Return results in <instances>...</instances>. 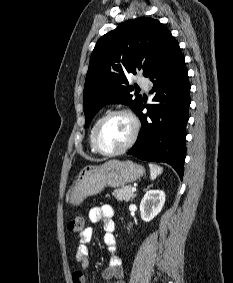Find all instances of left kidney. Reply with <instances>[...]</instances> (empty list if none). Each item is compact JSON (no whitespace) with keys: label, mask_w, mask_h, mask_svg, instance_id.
<instances>
[{"label":"left kidney","mask_w":233,"mask_h":283,"mask_svg":"<svg viewBox=\"0 0 233 283\" xmlns=\"http://www.w3.org/2000/svg\"><path fill=\"white\" fill-rule=\"evenodd\" d=\"M165 194L161 190H149L140 203L141 218L145 222L151 221L162 210Z\"/></svg>","instance_id":"obj_1"}]
</instances>
